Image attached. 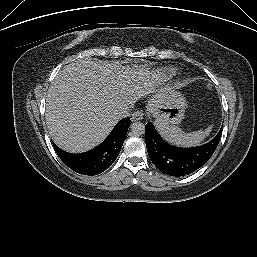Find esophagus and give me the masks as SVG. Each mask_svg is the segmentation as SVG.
Masks as SVG:
<instances>
[{
	"label": "esophagus",
	"instance_id": "1",
	"mask_svg": "<svg viewBox=\"0 0 257 257\" xmlns=\"http://www.w3.org/2000/svg\"><path fill=\"white\" fill-rule=\"evenodd\" d=\"M143 112L140 111V110H137L135 112H133L132 116H131V119L133 121H138V120H142L143 119Z\"/></svg>",
	"mask_w": 257,
	"mask_h": 257
}]
</instances>
